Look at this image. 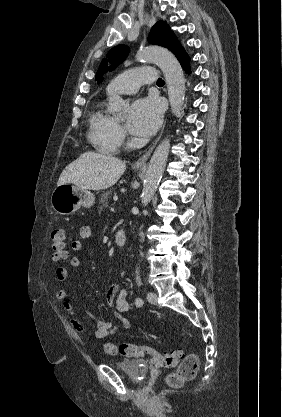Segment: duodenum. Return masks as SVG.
<instances>
[{
    "label": "duodenum",
    "mask_w": 282,
    "mask_h": 417,
    "mask_svg": "<svg viewBox=\"0 0 282 417\" xmlns=\"http://www.w3.org/2000/svg\"><path fill=\"white\" fill-rule=\"evenodd\" d=\"M127 235L124 231H118L114 237V243L119 246L123 247L126 244Z\"/></svg>",
    "instance_id": "410a0bca"
}]
</instances>
